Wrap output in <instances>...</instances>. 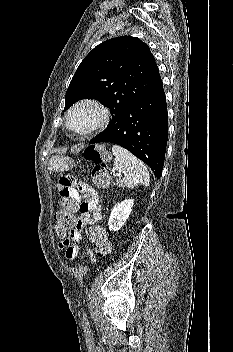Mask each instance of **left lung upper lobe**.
<instances>
[{
	"instance_id": "left-lung-upper-lobe-1",
	"label": "left lung upper lobe",
	"mask_w": 233,
	"mask_h": 352,
	"mask_svg": "<svg viewBox=\"0 0 233 352\" xmlns=\"http://www.w3.org/2000/svg\"><path fill=\"white\" fill-rule=\"evenodd\" d=\"M161 80L149 46L139 38L121 36L97 45L83 59L66 91L65 108L82 99H96L112 115L108 127L130 104Z\"/></svg>"
}]
</instances>
